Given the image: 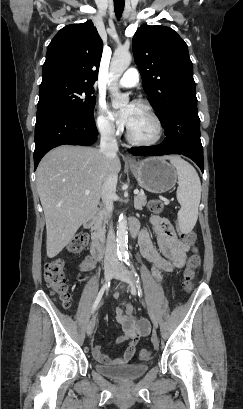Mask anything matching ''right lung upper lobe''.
<instances>
[{
	"mask_svg": "<svg viewBox=\"0 0 243 409\" xmlns=\"http://www.w3.org/2000/svg\"><path fill=\"white\" fill-rule=\"evenodd\" d=\"M102 50L103 41L90 20L65 26L48 46L42 78H65L93 87Z\"/></svg>",
	"mask_w": 243,
	"mask_h": 409,
	"instance_id": "obj_1",
	"label": "right lung upper lobe"
}]
</instances>
